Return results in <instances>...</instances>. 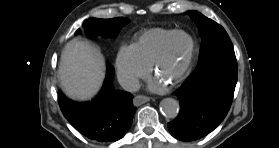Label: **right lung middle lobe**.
Masks as SVG:
<instances>
[{
    "label": "right lung middle lobe",
    "mask_w": 279,
    "mask_h": 148,
    "mask_svg": "<svg viewBox=\"0 0 279 148\" xmlns=\"http://www.w3.org/2000/svg\"><path fill=\"white\" fill-rule=\"evenodd\" d=\"M129 19L123 17H117L112 19H97L90 18L83 24L87 27L86 33L91 35H105L115 37L122 26L127 24ZM80 29L75 32V35L79 34Z\"/></svg>",
    "instance_id": "obj_1"
}]
</instances>
